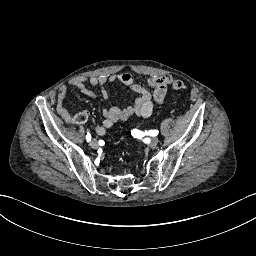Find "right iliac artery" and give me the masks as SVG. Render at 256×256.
<instances>
[{
    "label": "right iliac artery",
    "instance_id": "1",
    "mask_svg": "<svg viewBox=\"0 0 256 256\" xmlns=\"http://www.w3.org/2000/svg\"><path fill=\"white\" fill-rule=\"evenodd\" d=\"M86 140L89 142V141H91V135L90 134H87L86 135Z\"/></svg>",
    "mask_w": 256,
    "mask_h": 256
}]
</instances>
